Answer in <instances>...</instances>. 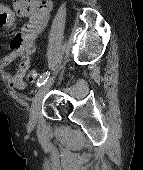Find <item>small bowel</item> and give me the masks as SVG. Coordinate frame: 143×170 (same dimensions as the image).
Listing matches in <instances>:
<instances>
[{
  "label": "small bowel",
  "instance_id": "small-bowel-1",
  "mask_svg": "<svg viewBox=\"0 0 143 170\" xmlns=\"http://www.w3.org/2000/svg\"><path fill=\"white\" fill-rule=\"evenodd\" d=\"M52 0H12V7L0 5V23L12 27L16 17H27V22L12 37L10 52L0 58V67L6 68L18 60L15 72L5 73V79L12 87L23 89L25 75L30 68L35 52V40L48 23L53 10Z\"/></svg>",
  "mask_w": 143,
  "mask_h": 170
}]
</instances>
